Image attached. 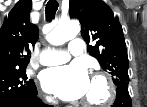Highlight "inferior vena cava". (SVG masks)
Returning <instances> with one entry per match:
<instances>
[{"label": "inferior vena cava", "mask_w": 147, "mask_h": 107, "mask_svg": "<svg viewBox=\"0 0 147 107\" xmlns=\"http://www.w3.org/2000/svg\"><path fill=\"white\" fill-rule=\"evenodd\" d=\"M48 100H49V101H53L52 98H50V97L48 98Z\"/></svg>", "instance_id": "1"}]
</instances>
